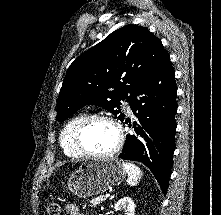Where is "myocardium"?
<instances>
[{
  "mask_svg": "<svg viewBox=\"0 0 221 215\" xmlns=\"http://www.w3.org/2000/svg\"><path fill=\"white\" fill-rule=\"evenodd\" d=\"M96 121H107L113 125L116 131L117 140L112 149L104 153H92L88 151L83 145V135L85 131L89 128L91 124ZM124 143V132L120 125V123L109 115L97 114L89 116L87 119L83 121V123L79 126L75 134V144L79 152L86 157L90 158H107L115 155L123 146Z\"/></svg>",
  "mask_w": 221,
  "mask_h": 215,
  "instance_id": "obj_1",
  "label": "myocardium"
}]
</instances>
